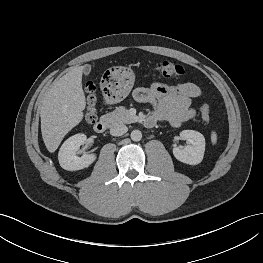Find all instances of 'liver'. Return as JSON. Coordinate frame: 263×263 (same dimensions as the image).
<instances>
[{
    "mask_svg": "<svg viewBox=\"0 0 263 263\" xmlns=\"http://www.w3.org/2000/svg\"><path fill=\"white\" fill-rule=\"evenodd\" d=\"M84 66L71 67L45 92L40 108L42 138L47 150L55 152L65 135L83 119L86 106L82 89Z\"/></svg>",
    "mask_w": 263,
    "mask_h": 263,
    "instance_id": "obj_1",
    "label": "liver"
}]
</instances>
